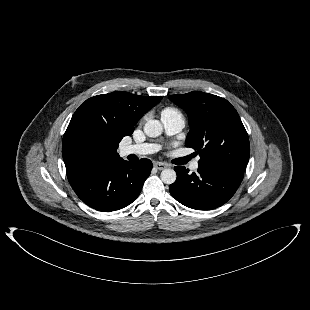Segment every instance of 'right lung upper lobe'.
Returning <instances> with one entry per match:
<instances>
[{
	"label": "right lung upper lobe",
	"instance_id": "right-lung-upper-lobe-1",
	"mask_svg": "<svg viewBox=\"0 0 310 310\" xmlns=\"http://www.w3.org/2000/svg\"><path fill=\"white\" fill-rule=\"evenodd\" d=\"M161 99V96L145 97L124 91L87 99L72 116L64 134L62 155L66 170L92 162L120 159L117 147L121 139L130 136L138 120ZM79 129H89L98 136L96 152L80 153L73 148L71 138Z\"/></svg>",
	"mask_w": 310,
	"mask_h": 310
}]
</instances>
